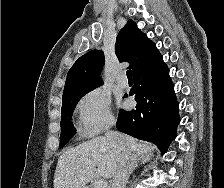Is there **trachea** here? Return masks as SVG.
Returning a JSON list of instances; mask_svg holds the SVG:
<instances>
[{
    "label": "trachea",
    "mask_w": 224,
    "mask_h": 188,
    "mask_svg": "<svg viewBox=\"0 0 224 188\" xmlns=\"http://www.w3.org/2000/svg\"><path fill=\"white\" fill-rule=\"evenodd\" d=\"M126 74H127V78L128 79H132V72H131V70H127Z\"/></svg>",
    "instance_id": "trachea-1"
}]
</instances>
